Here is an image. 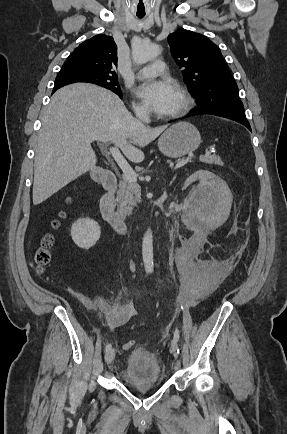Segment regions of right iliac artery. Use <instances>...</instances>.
Wrapping results in <instances>:
<instances>
[{
    "label": "right iliac artery",
    "mask_w": 287,
    "mask_h": 434,
    "mask_svg": "<svg viewBox=\"0 0 287 434\" xmlns=\"http://www.w3.org/2000/svg\"><path fill=\"white\" fill-rule=\"evenodd\" d=\"M111 349V344H107L105 347V351L106 353Z\"/></svg>",
    "instance_id": "obj_1"
}]
</instances>
